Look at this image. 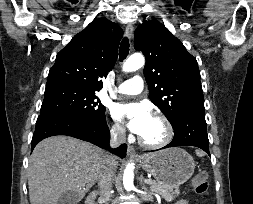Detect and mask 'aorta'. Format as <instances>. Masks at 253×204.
<instances>
[{"label":"aorta","instance_id":"aorta-1","mask_svg":"<svg viewBox=\"0 0 253 204\" xmlns=\"http://www.w3.org/2000/svg\"><path fill=\"white\" fill-rule=\"evenodd\" d=\"M144 63H145L144 56L140 53H135L126 60V62L122 67V70L124 72L136 71L139 68H141L144 65ZM133 180H134L133 166L132 164H128L123 174V185L127 191L133 189L134 187Z\"/></svg>","mask_w":253,"mask_h":204}]
</instances>
